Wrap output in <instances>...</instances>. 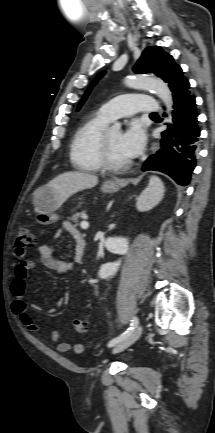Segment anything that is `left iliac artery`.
Returning <instances> with one entry per match:
<instances>
[{
  "label": "left iliac artery",
  "mask_w": 215,
  "mask_h": 433,
  "mask_svg": "<svg viewBox=\"0 0 215 433\" xmlns=\"http://www.w3.org/2000/svg\"><path fill=\"white\" fill-rule=\"evenodd\" d=\"M137 325H138V318L137 317H133L132 320H131L130 327L124 333H122L120 336L112 339L108 343V347H113L116 344H118L121 341H123L124 339H126L131 334V332L137 327Z\"/></svg>",
  "instance_id": "obj_1"
}]
</instances>
